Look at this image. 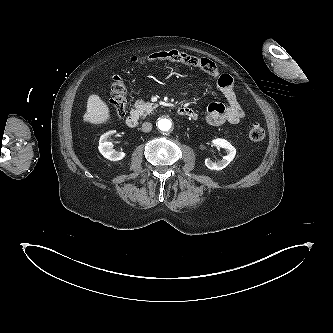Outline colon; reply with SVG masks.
<instances>
[{
	"mask_svg": "<svg viewBox=\"0 0 333 333\" xmlns=\"http://www.w3.org/2000/svg\"><path fill=\"white\" fill-rule=\"evenodd\" d=\"M131 61L139 64L149 62L183 64L189 67L198 68L213 77L219 78L221 76L216 64L210 59L192 56L177 50L160 51L144 57H134ZM110 94V107L112 111L116 116L122 117L125 114L127 105V87L124 80L118 75H115L112 78ZM249 137L254 142L263 140L265 137L264 128L259 124H253L249 129Z\"/></svg>",
	"mask_w": 333,
	"mask_h": 333,
	"instance_id": "1",
	"label": "colon"
}]
</instances>
